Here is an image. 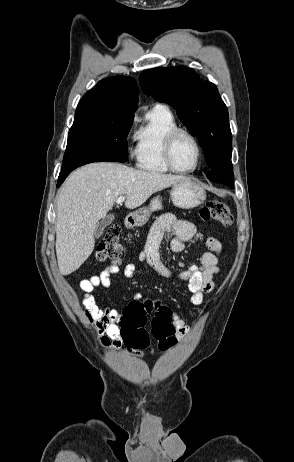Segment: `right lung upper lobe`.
<instances>
[{
    "instance_id": "cb5924a9",
    "label": "right lung upper lobe",
    "mask_w": 294,
    "mask_h": 462,
    "mask_svg": "<svg viewBox=\"0 0 294 462\" xmlns=\"http://www.w3.org/2000/svg\"><path fill=\"white\" fill-rule=\"evenodd\" d=\"M138 87L134 78L115 76L99 81L80 100L76 111L100 110L134 114Z\"/></svg>"
}]
</instances>
